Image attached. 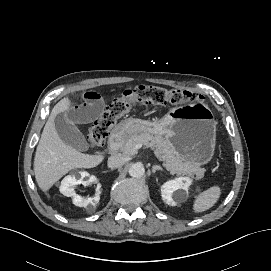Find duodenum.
Here are the masks:
<instances>
[{
	"mask_svg": "<svg viewBox=\"0 0 271 271\" xmlns=\"http://www.w3.org/2000/svg\"><path fill=\"white\" fill-rule=\"evenodd\" d=\"M124 139V130L116 128L108 139V146L112 151H117Z\"/></svg>",
	"mask_w": 271,
	"mask_h": 271,
	"instance_id": "410a0bca",
	"label": "duodenum"
}]
</instances>
